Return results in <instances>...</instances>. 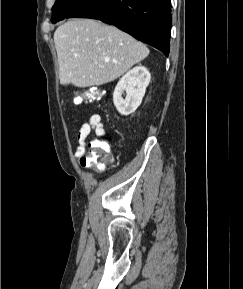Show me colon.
Listing matches in <instances>:
<instances>
[{
	"mask_svg": "<svg viewBox=\"0 0 243 289\" xmlns=\"http://www.w3.org/2000/svg\"><path fill=\"white\" fill-rule=\"evenodd\" d=\"M103 93L97 88H90L84 91H76L73 95V103L91 102L101 100ZM90 152L82 158V163L98 169L111 166L114 156L109 150V146L102 140H94L89 144Z\"/></svg>",
	"mask_w": 243,
	"mask_h": 289,
	"instance_id": "colon-1",
	"label": "colon"
}]
</instances>
